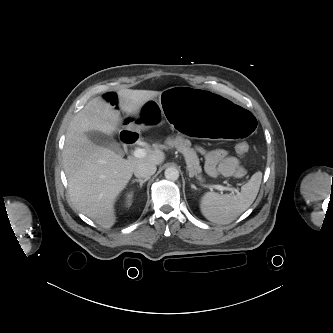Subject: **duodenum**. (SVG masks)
<instances>
[{
  "instance_id": "obj_1",
  "label": "duodenum",
  "mask_w": 333,
  "mask_h": 333,
  "mask_svg": "<svg viewBox=\"0 0 333 333\" xmlns=\"http://www.w3.org/2000/svg\"><path fill=\"white\" fill-rule=\"evenodd\" d=\"M121 139L124 143L129 144V145H133L136 142L137 137L132 132L124 131V132L121 133Z\"/></svg>"
}]
</instances>
